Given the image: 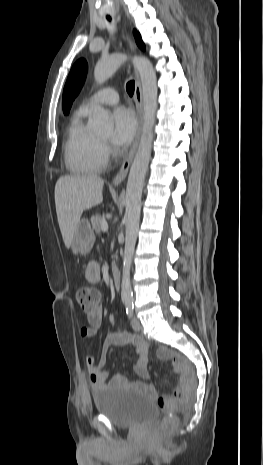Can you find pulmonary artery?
<instances>
[{
  "label": "pulmonary artery",
  "instance_id": "1",
  "mask_svg": "<svg viewBox=\"0 0 263 465\" xmlns=\"http://www.w3.org/2000/svg\"><path fill=\"white\" fill-rule=\"evenodd\" d=\"M119 101L118 92L112 87H106L91 95L79 108L80 111L89 113L99 104L113 105Z\"/></svg>",
  "mask_w": 263,
  "mask_h": 465
}]
</instances>
